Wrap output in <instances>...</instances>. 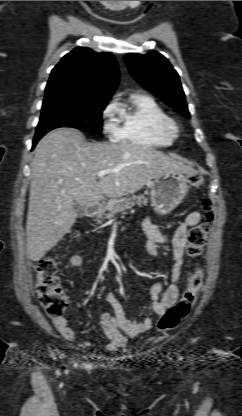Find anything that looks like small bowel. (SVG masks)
I'll return each mask as SVG.
<instances>
[{
  "label": "small bowel",
  "mask_w": 242,
  "mask_h": 416,
  "mask_svg": "<svg viewBox=\"0 0 242 416\" xmlns=\"http://www.w3.org/2000/svg\"><path fill=\"white\" fill-rule=\"evenodd\" d=\"M200 220L201 215L198 212H190L169 234L160 231L153 224L151 218H146L142 223V229L149 238L145 247V253L147 255L154 256L157 245L161 243H169L173 251L172 283L164 289L162 282H156L150 289L151 309L156 316H161L168 307L175 303L179 296L178 281L181 275L184 250L187 245V232L189 228L198 224ZM85 263L86 259L78 255H74L69 259V265L73 267L82 266ZM106 301L113 310L112 314L107 312L103 313L100 321L103 332L108 338L106 344L107 350H118L126 344L128 337L138 336L152 328L154 322L152 316H148L140 322L127 319L121 303L112 292L106 294ZM52 321L65 339L83 347L90 346V340L76 333L68 325L66 318H52Z\"/></svg>",
  "instance_id": "1"
}]
</instances>
